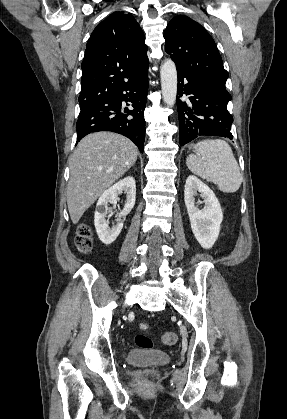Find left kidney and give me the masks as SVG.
<instances>
[{"instance_id": "1", "label": "left kidney", "mask_w": 287, "mask_h": 419, "mask_svg": "<svg viewBox=\"0 0 287 419\" xmlns=\"http://www.w3.org/2000/svg\"><path fill=\"white\" fill-rule=\"evenodd\" d=\"M197 192L200 193L205 204L202 209L195 206L194 197ZM184 200L195 238L203 248H211L219 236L223 220L218 199L205 183L196 176L189 175L186 179Z\"/></svg>"}]
</instances>
